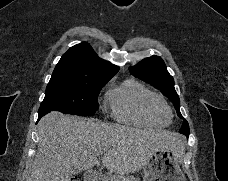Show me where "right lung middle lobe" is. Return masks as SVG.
<instances>
[{
	"instance_id": "right-lung-middle-lobe-1",
	"label": "right lung middle lobe",
	"mask_w": 228,
	"mask_h": 181,
	"mask_svg": "<svg viewBox=\"0 0 228 181\" xmlns=\"http://www.w3.org/2000/svg\"><path fill=\"white\" fill-rule=\"evenodd\" d=\"M109 80L66 83L50 81L39 109L38 120L50 111L57 110L65 114L93 115L99 108L97 102L101 88Z\"/></svg>"
}]
</instances>
